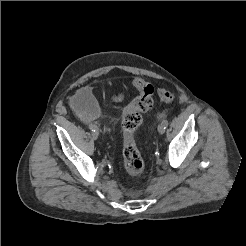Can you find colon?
<instances>
[{
  "mask_svg": "<svg viewBox=\"0 0 246 246\" xmlns=\"http://www.w3.org/2000/svg\"><path fill=\"white\" fill-rule=\"evenodd\" d=\"M133 85L139 95L123 110V159L127 173L131 176H139L143 173L145 164L137 148L134 133L143 122V114L153 105L154 87L141 78H135ZM159 99L167 104L174 102V95L165 88H158Z\"/></svg>",
  "mask_w": 246,
  "mask_h": 246,
  "instance_id": "obj_1",
  "label": "colon"
}]
</instances>
